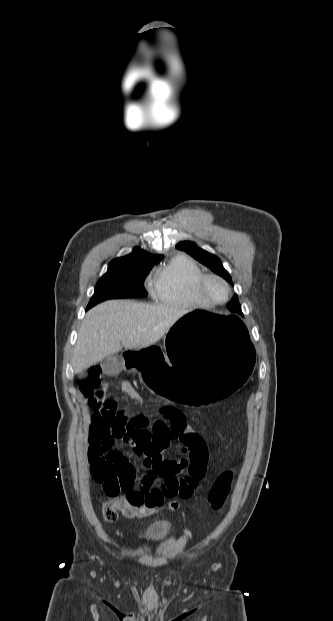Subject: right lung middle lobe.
Here are the masks:
<instances>
[{"instance_id":"1","label":"right lung middle lobe","mask_w":333,"mask_h":621,"mask_svg":"<svg viewBox=\"0 0 333 621\" xmlns=\"http://www.w3.org/2000/svg\"><path fill=\"white\" fill-rule=\"evenodd\" d=\"M151 268L140 264L109 263L108 271L98 281L86 310L108 299L146 297L144 279Z\"/></svg>"}]
</instances>
